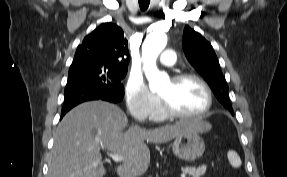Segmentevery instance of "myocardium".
<instances>
[{"mask_svg": "<svg viewBox=\"0 0 287 177\" xmlns=\"http://www.w3.org/2000/svg\"><path fill=\"white\" fill-rule=\"evenodd\" d=\"M187 80H193L202 87L207 98L205 107L202 109V111H200L199 113H195V114L180 113L174 110L166 99L159 96L162 111L165 114V116L169 118H175V119H197V118H201L205 116L211 110L213 106V94H212L211 88L209 87V85L203 78L192 73H180V74L175 75L171 79V81L174 84H179Z\"/></svg>", "mask_w": 287, "mask_h": 177, "instance_id": "myocardium-1", "label": "myocardium"}]
</instances>
